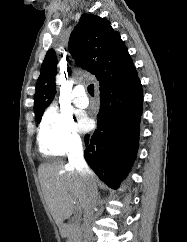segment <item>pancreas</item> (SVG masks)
Listing matches in <instances>:
<instances>
[{
	"mask_svg": "<svg viewBox=\"0 0 187 242\" xmlns=\"http://www.w3.org/2000/svg\"><path fill=\"white\" fill-rule=\"evenodd\" d=\"M80 234L81 232L78 223H72L70 225V231L67 242H77L79 240Z\"/></svg>",
	"mask_w": 187,
	"mask_h": 242,
	"instance_id": "pancreas-1",
	"label": "pancreas"
}]
</instances>
